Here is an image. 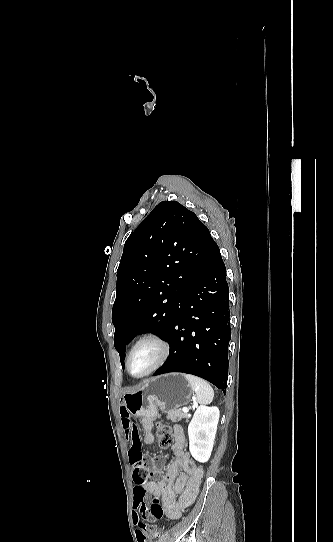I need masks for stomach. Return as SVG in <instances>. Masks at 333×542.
Returning <instances> with one entry per match:
<instances>
[{"instance_id": "stomach-1", "label": "stomach", "mask_w": 333, "mask_h": 542, "mask_svg": "<svg viewBox=\"0 0 333 542\" xmlns=\"http://www.w3.org/2000/svg\"><path fill=\"white\" fill-rule=\"evenodd\" d=\"M191 396V386L183 374H163L151 378L136 392L124 394L123 404L131 416L155 422L158 408L162 412L177 410L189 404Z\"/></svg>"}]
</instances>
